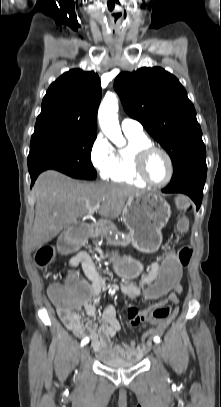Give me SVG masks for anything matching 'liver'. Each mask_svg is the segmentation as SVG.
<instances>
[{
    "label": "liver",
    "instance_id": "1",
    "mask_svg": "<svg viewBox=\"0 0 221 407\" xmlns=\"http://www.w3.org/2000/svg\"><path fill=\"white\" fill-rule=\"evenodd\" d=\"M33 192L36 206L30 246L36 249L75 224L97 203H102L99 215L117 218L128 197L142 191L124 184L80 183L58 171L48 170L39 175Z\"/></svg>",
    "mask_w": 221,
    "mask_h": 407
}]
</instances>
